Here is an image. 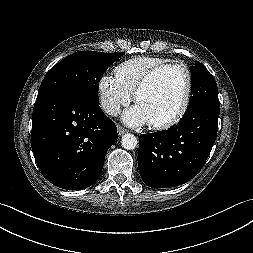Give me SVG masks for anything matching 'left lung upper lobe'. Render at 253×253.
<instances>
[{
  "instance_id": "left-lung-upper-lobe-1",
  "label": "left lung upper lobe",
  "mask_w": 253,
  "mask_h": 253,
  "mask_svg": "<svg viewBox=\"0 0 253 253\" xmlns=\"http://www.w3.org/2000/svg\"><path fill=\"white\" fill-rule=\"evenodd\" d=\"M192 75L191 94L188 109L202 103H219L217 95V84L214 77L198 61L190 67Z\"/></svg>"
}]
</instances>
